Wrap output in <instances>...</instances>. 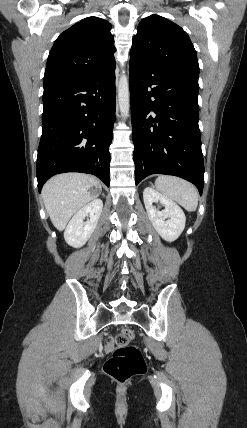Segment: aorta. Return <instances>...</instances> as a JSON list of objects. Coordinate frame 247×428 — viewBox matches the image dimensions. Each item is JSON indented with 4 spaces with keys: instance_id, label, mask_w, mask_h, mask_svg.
<instances>
[{
    "instance_id": "obj_1",
    "label": "aorta",
    "mask_w": 247,
    "mask_h": 428,
    "mask_svg": "<svg viewBox=\"0 0 247 428\" xmlns=\"http://www.w3.org/2000/svg\"><path fill=\"white\" fill-rule=\"evenodd\" d=\"M130 94H129V84L128 78L126 75H121L118 84V102L121 115L124 118H127L129 115L130 107Z\"/></svg>"
}]
</instances>
